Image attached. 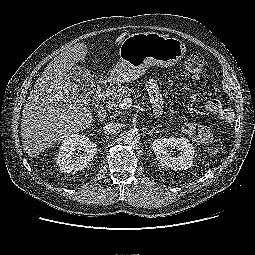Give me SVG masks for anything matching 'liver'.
Listing matches in <instances>:
<instances>
[{"mask_svg":"<svg viewBox=\"0 0 255 255\" xmlns=\"http://www.w3.org/2000/svg\"><path fill=\"white\" fill-rule=\"evenodd\" d=\"M87 52L84 42L67 46L37 79L21 119L23 148L30 157L92 125L87 99L70 79V70L84 60Z\"/></svg>","mask_w":255,"mask_h":255,"instance_id":"liver-1","label":"liver"}]
</instances>
